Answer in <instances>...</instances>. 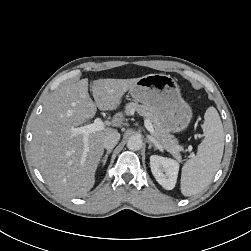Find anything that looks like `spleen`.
<instances>
[{
  "label": "spleen",
  "instance_id": "spleen-1",
  "mask_svg": "<svg viewBox=\"0 0 251 251\" xmlns=\"http://www.w3.org/2000/svg\"><path fill=\"white\" fill-rule=\"evenodd\" d=\"M202 129L205 137L198 146L197 154L182 167L181 193L184 196L196 195L208 186L223 156L225 135L214 107L206 110Z\"/></svg>",
  "mask_w": 251,
  "mask_h": 251
}]
</instances>
